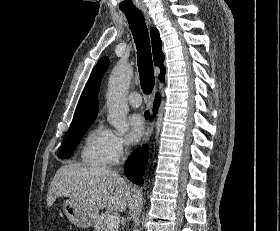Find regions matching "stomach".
<instances>
[{"mask_svg": "<svg viewBox=\"0 0 280 231\" xmlns=\"http://www.w3.org/2000/svg\"><path fill=\"white\" fill-rule=\"evenodd\" d=\"M63 211L71 223L77 227H91L95 223V217L90 207H85L76 199H65L63 201Z\"/></svg>", "mask_w": 280, "mask_h": 231, "instance_id": "1", "label": "stomach"}]
</instances>
